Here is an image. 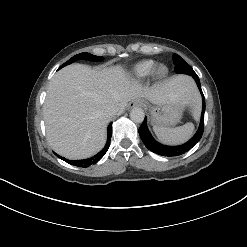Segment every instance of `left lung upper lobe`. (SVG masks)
I'll return each instance as SVG.
<instances>
[{
    "instance_id": "obj_1",
    "label": "left lung upper lobe",
    "mask_w": 247,
    "mask_h": 247,
    "mask_svg": "<svg viewBox=\"0 0 247 247\" xmlns=\"http://www.w3.org/2000/svg\"><path fill=\"white\" fill-rule=\"evenodd\" d=\"M172 58L175 64L176 73L187 74L190 76L196 75L192 67L188 63H186L179 55L174 54Z\"/></svg>"
}]
</instances>
